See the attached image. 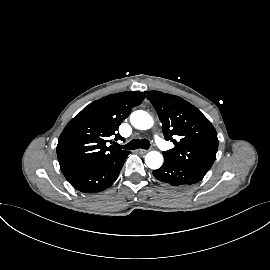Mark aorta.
Listing matches in <instances>:
<instances>
[{
    "label": "aorta",
    "mask_w": 270,
    "mask_h": 270,
    "mask_svg": "<svg viewBox=\"0 0 270 270\" xmlns=\"http://www.w3.org/2000/svg\"><path fill=\"white\" fill-rule=\"evenodd\" d=\"M130 122L140 130L150 129L154 124L151 115L142 110L134 111L130 116ZM145 163L151 169H159L163 164V156L160 152L150 151L145 156Z\"/></svg>",
    "instance_id": "aorta-1"
}]
</instances>
